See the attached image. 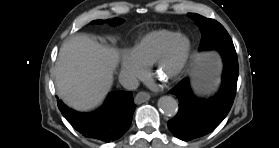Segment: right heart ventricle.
Here are the masks:
<instances>
[{
	"mask_svg": "<svg viewBox=\"0 0 279 148\" xmlns=\"http://www.w3.org/2000/svg\"><path fill=\"white\" fill-rule=\"evenodd\" d=\"M175 32L156 30L143 36L135 45L133 53L146 67L153 65L163 53Z\"/></svg>",
	"mask_w": 279,
	"mask_h": 148,
	"instance_id": "1",
	"label": "right heart ventricle"
}]
</instances>
